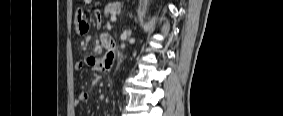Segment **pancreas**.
Here are the masks:
<instances>
[{
  "label": "pancreas",
  "mask_w": 283,
  "mask_h": 116,
  "mask_svg": "<svg viewBox=\"0 0 283 116\" xmlns=\"http://www.w3.org/2000/svg\"><path fill=\"white\" fill-rule=\"evenodd\" d=\"M121 3L120 2H114L112 4H109L105 7L104 14L106 17H108L109 14H116V12L120 9Z\"/></svg>",
  "instance_id": "cf45deb5"
}]
</instances>
